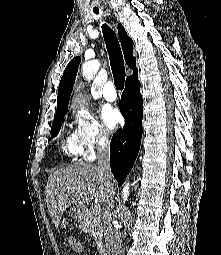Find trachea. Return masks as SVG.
Listing matches in <instances>:
<instances>
[{
    "label": "trachea",
    "mask_w": 221,
    "mask_h": 255,
    "mask_svg": "<svg viewBox=\"0 0 221 255\" xmlns=\"http://www.w3.org/2000/svg\"><path fill=\"white\" fill-rule=\"evenodd\" d=\"M94 12L98 13V9H94ZM102 31L109 54L116 89L123 90L125 82V67L119 41L113 30L106 24L102 26Z\"/></svg>",
    "instance_id": "trachea-1"
}]
</instances>
